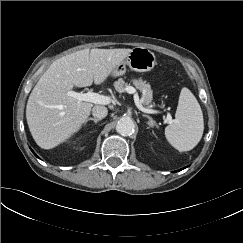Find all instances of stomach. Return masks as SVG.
Here are the masks:
<instances>
[{
  "mask_svg": "<svg viewBox=\"0 0 243 243\" xmlns=\"http://www.w3.org/2000/svg\"><path fill=\"white\" fill-rule=\"evenodd\" d=\"M156 57L152 51L144 47H135L128 56L117 65L111 75L119 77L125 74L126 67L136 72H147L154 68Z\"/></svg>",
  "mask_w": 243,
  "mask_h": 243,
  "instance_id": "0dacf381",
  "label": "stomach"
}]
</instances>
